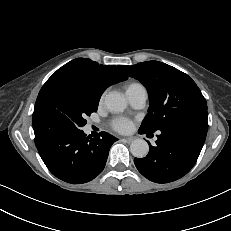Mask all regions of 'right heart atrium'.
I'll return each instance as SVG.
<instances>
[{"label":"right heart atrium","instance_id":"d8ad5b80","mask_svg":"<svg viewBox=\"0 0 231 231\" xmlns=\"http://www.w3.org/2000/svg\"><path fill=\"white\" fill-rule=\"evenodd\" d=\"M103 96H104V95L101 96V100L103 99Z\"/></svg>","mask_w":231,"mask_h":231}]
</instances>
